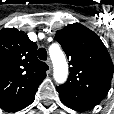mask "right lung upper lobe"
Here are the masks:
<instances>
[{
	"instance_id": "right-lung-upper-lobe-1",
	"label": "right lung upper lobe",
	"mask_w": 114,
	"mask_h": 114,
	"mask_svg": "<svg viewBox=\"0 0 114 114\" xmlns=\"http://www.w3.org/2000/svg\"><path fill=\"white\" fill-rule=\"evenodd\" d=\"M37 45L16 28L0 31V107L36 93L48 66L36 56Z\"/></svg>"
}]
</instances>
